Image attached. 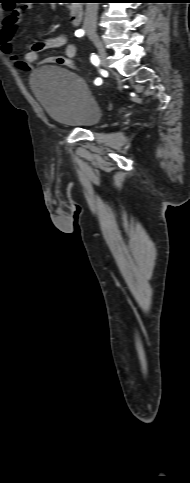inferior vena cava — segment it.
Returning <instances> with one entry per match:
<instances>
[{"instance_id": "1", "label": "inferior vena cava", "mask_w": 190, "mask_h": 483, "mask_svg": "<svg viewBox=\"0 0 190 483\" xmlns=\"http://www.w3.org/2000/svg\"><path fill=\"white\" fill-rule=\"evenodd\" d=\"M98 3H86L85 29H96Z\"/></svg>"}]
</instances>
